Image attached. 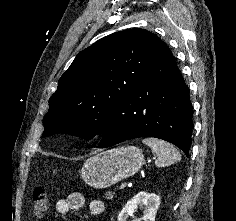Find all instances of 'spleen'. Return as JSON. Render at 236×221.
<instances>
[{"label": "spleen", "mask_w": 236, "mask_h": 221, "mask_svg": "<svg viewBox=\"0 0 236 221\" xmlns=\"http://www.w3.org/2000/svg\"><path fill=\"white\" fill-rule=\"evenodd\" d=\"M142 142L148 145L152 153L156 155L157 160L155 164L157 167H164L176 162H180L181 155L178 150L169 142L157 138H145Z\"/></svg>", "instance_id": "obj_1"}]
</instances>
